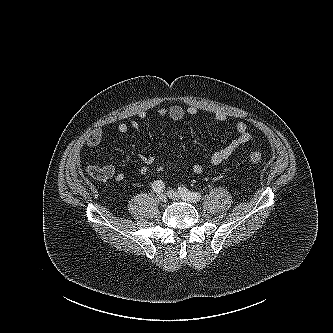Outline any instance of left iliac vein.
<instances>
[{"label":"left iliac vein","mask_w":333,"mask_h":333,"mask_svg":"<svg viewBox=\"0 0 333 333\" xmlns=\"http://www.w3.org/2000/svg\"><path fill=\"white\" fill-rule=\"evenodd\" d=\"M167 196L174 200L182 199L183 201H186V202H190V203L194 202V201L188 199L187 197H185L184 195H182L179 191H175V190H169L167 192Z\"/></svg>","instance_id":"1"}]
</instances>
